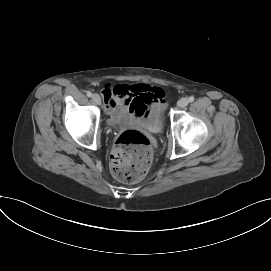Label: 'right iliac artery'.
Segmentation results:
<instances>
[{"instance_id":"right-iliac-artery-1","label":"right iliac artery","mask_w":271,"mask_h":271,"mask_svg":"<svg viewBox=\"0 0 271 271\" xmlns=\"http://www.w3.org/2000/svg\"><path fill=\"white\" fill-rule=\"evenodd\" d=\"M86 94H87L88 97H91V96H92V93H91L90 91H87Z\"/></svg>"}]
</instances>
